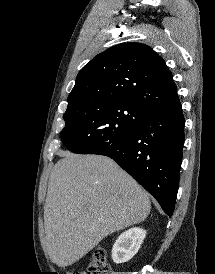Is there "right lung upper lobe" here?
Masks as SVG:
<instances>
[{
    "mask_svg": "<svg viewBox=\"0 0 215 274\" xmlns=\"http://www.w3.org/2000/svg\"><path fill=\"white\" fill-rule=\"evenodd\" d=\"M103 100L132 103L148 112L180 103L164 60L141 43L113 46L80 70L68 102Z\"/></svg>",
    "mask_w": 215,
    "mask_h": 274,
    "instance_id": "right-lung-upper-lobe-1",
    "label": "right lung upper lobe"
}]
</instances>
